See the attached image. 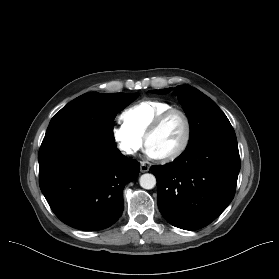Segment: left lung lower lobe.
Listing matches in <instances>:
<instances>
[{
    "label": "left lung lower lobe",
    "instance_id": "obj_1",
    "mask_svg": "<svg viewBox=\"0 0 279 279\" xmlns=\"http://www.w3.org/2000/svg\"><path fill=\"white\" fill-rule=\"evenodd\" d=\"M158 207L173 226L197 230L215 220L232 201L240 157L234 135L201 139L173 161L152 166Z\"/></svg>",
    "mask_w": 279,
    "mask_h": 279
}]
</instances>
